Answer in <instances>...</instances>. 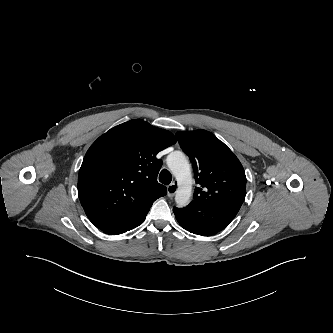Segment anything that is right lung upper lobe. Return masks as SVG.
<instances>
[{
	"instance_id": "obj_1",
	"label": "right lung upper lobe",
	"mask_w": 333,
	"mask_h": 333,
	"mask_svg": "<svg viewBox=\"0 0 333 333\" xmlns=\"http://www.w3.org/2000/svg\"><path fill=\"white\" fill-rule=\"evenodd\" d=\"M176 143L169 131L134 119L100 136L88 149L78 175V194L89 220L103 228L147 214L166 195L157 182V153Z\"/></svg>"
}]
</instances>
